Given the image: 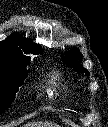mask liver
I'll use <instances>...</instances> for the list:
<instances>
[{
  "mask_svg": "<svg viewBox=\"0 0 108 127\" xmlns=\"http://www.w3.org/2000/svg\"><path fill=\"white\" fill-rule=\"evenodd\" d=\"M23 127H59L57 124H53L50 122H31L28 123L26 125H24Z\"/></svg>",
  "mask_w": 108,
  "mask_h": 127,
  "instance_id": "6515ba94",
  "label": "liver"
}]
</instances>
